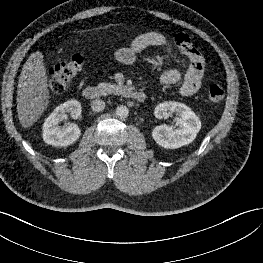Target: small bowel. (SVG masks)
Returning <instances> with one entry per match:
<instances>
[{
	"instance_id": "1",
	"label": "small bowel",
	"mask_w": 263,
	"mask_h": 263,
	"mask_svg": "<svg viewBox=\"0 0 263 263\" xmlns=\"http://www.w3.org/2000/svg\"><path fill=\"white\" fill-rule=\"evenodd\" d=\"M149 47L176 49L185 56L188 62L184 74L177 69L165 71L159 78L160 84L172 85L182 81L180 93L184 96H192L201 89L205 60L193 47L186 34H177L173 40H170L159 32L143 33L137 36L129 46L119 48L114 56L118 62L131 65L135 62L137 54Z\"/></svg>"
}]
</instances>
